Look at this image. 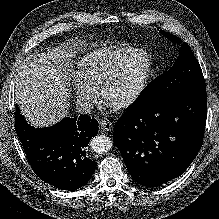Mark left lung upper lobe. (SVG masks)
<instances>
[{"mask_svg": "<svg viewBox=\"0 0 219 219\" xmlns=\"http://www.w3.org/2000/svg\"><path fill=\"white\" fill-rule=\"evenodd\" d=\"M169 40L179 43L175 35L162 32ZM206 89L201 67L190 46L183 43L175 64L166 73L155 78L133 103L140 107H150L187 91Z\"/></svg>", "mask_w": 219, "mask_h": 219, "instance_id": "1", "label": "left lung upper lobe"}]
</instances>
